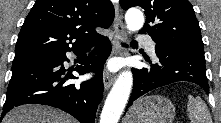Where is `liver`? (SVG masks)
<instances>
[{"label":"liver","mask_w":221,"mask_h":123,"mask_svg":"<svg viewBox=\"0 0 221 123\" xmlns=\"http://www.w3.org/2000/svg\"><path fill=\"white\" fill-rule=\"evenodd\" d=\"M2 123H76L68 114L41 105H22L8 112Z\"/></svg>","instance_id":"obj_1"}]
</instances>
